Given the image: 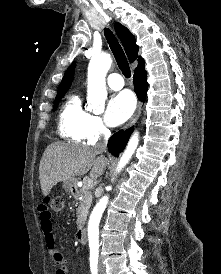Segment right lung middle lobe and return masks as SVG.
I'll return each mask as SVG.
<instances>
[{"label": "right lung middle lobe", "instance_id": "right-lung-middle-lobe-1", "mask_svg": "<svg viewBox=\"0 0 221 274\" xmlns=\"http://www.w3.org/2000/svg\"><path fill=\"white\" fill-rule=\"evenodd\" d=\"M64 97V94L57 95L54 101L53 110H55L60 102V100Z\"/></svg>", "mask_w": 221, "mask_h": 274}]
</instances>
